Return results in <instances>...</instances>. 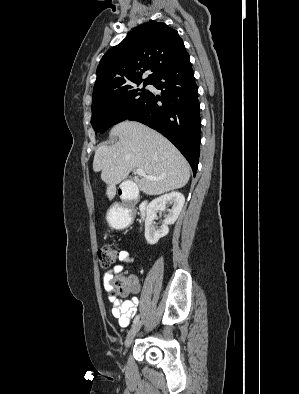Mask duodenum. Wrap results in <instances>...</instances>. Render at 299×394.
<instances>
[{
    "label": "duodenum",
    "instance_id": "1",
    "mask_svg": "<svg viewBox=\"0 0 299 394\" xmlns=\"http://www.w3.org/2000/svg\"><path fill=\"white\" fill-rule=\"evenodd\" d=\"M121 198L123 199L122 205V215L121 219L123 221H128L132 219V206L137 201V196L128 186L119 187L118 189ZM147 208V201H141L138 205V212L143 214Z\"/></svg>",
    "mask_w": 299,
    "mask_h": 394
}]
</instances>
